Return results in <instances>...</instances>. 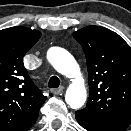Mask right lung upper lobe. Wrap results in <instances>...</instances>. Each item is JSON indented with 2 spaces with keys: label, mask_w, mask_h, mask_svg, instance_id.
I'll return each mask as SVG.
<instances>
[{
  "label": "right lung upper lobe",
  "mask_w": 131,
  "mask_h": 131,
  "mask_svg": "<svg viewBox=\"0 0 131 131\" xmlns=\"http://www.w3.org/2000/svg\"><path fill=\"white\" fill-rule=\"evenodd\" d=\"M41 37L38 30L16 26L0 31V131H21L38 117L46 96L34 85L24 55Z\"/></svg>",
  "instance_id": "right-lung-upper-lobe-1"
}]
</instances>
